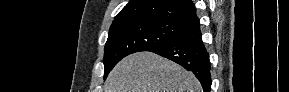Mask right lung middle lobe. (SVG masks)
I'll return each instance as SVG.
<instances>
[{
	"label": "right lung middle lobe",
	"instance_id": "right-lung-middle-lobe-1",
	"mask_svg": "<svg viewBox=\"0 0 289 92\" xmlns=\"http://www.w3.org/2000/svg\"><path fill=\"white\" fill-rule=\"evenodd\" d=\"M188 28L185 24L153 18L127 19L112 24L104 50V78L127 55L168 43Z\"/></svg>",
	"mask_w": 289,
	"mask_h": 92
}]
</instances>
